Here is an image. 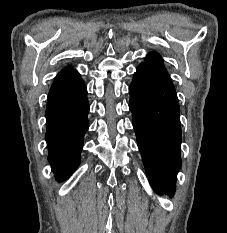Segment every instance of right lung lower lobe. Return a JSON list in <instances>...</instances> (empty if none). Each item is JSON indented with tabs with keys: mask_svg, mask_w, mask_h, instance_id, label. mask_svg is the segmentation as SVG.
<instances>
[{
	"mask_svg": "<svg viewBox=\"0 0 227 233\" xmlns=\"http://www.w3.org/2000/svg\"><path fill=\"white\" fill-rule=\"evenodd\" d=\"M88 112L87 89L82 79L48 98L45 138L48 160L58 181L69 177L80 163L83 137L89 127Z\"/></svg>",
	"mask_w": 227,
	"mask_h": 233,
	"instance_id": "obj_1",
	"label": "right lung lower lobe"
}]
</instances>
